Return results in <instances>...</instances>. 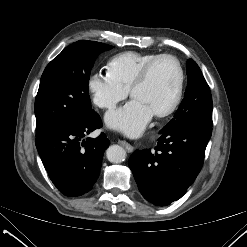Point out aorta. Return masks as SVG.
Segmentation results:
<instances>
[{"mask_svg":"<svg viewBox=\"0 0 247 247\" xmlns=\"http://www.w3.org/2000/svg\"><path fill=\"white\" fill-rule=\"evenodd\" d=\"M106 156L112 163H121L126 158V152L121 146L112 145L106 150Z\"/></svg>","mask_w":247,"mask_h":247,"instance_id":"1","label":"aorta"}]
</instances>
